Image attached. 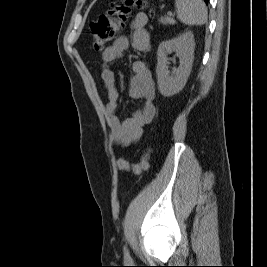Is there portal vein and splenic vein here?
Wrapping results in <instances>:
<instances>
[{"mask_svg": "<svg viewBox=\"0 0 267 267\" xmlns=\"http://www.w3.org/2000/svg\"><path fill=\"white\" fill-rule=\"evenodd\" d=\"M168 15H170V16H171V15H172V12H170V11H169V12H168Z\"/></svg>", "mask_w": 267, "mask_h": 267, "instance_id": "portal-vein-and-splenic-vein-1", "label": "portal vein and splenic vein"}]
</instances>
